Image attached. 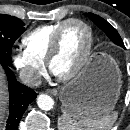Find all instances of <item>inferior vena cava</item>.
I'll list each match as a JSON object with an SVG mask.
<instances>
[{"instance_id": "obj_1", "label": "inferior vena cava", "mask_w": 130, "mask_h": 130, "mask_svg": "<svg viewBox=\"0 0 130 130\" xmlns=\"http://www.w3.org/2000/svg\"><path fill=\"white\" fill-rule=\"evenodd\" d=\"M21 80L23 81L24 84L30 87H37L42 82L41 77L39 75L30 72L21 74Z\"/></svg>"}]
</instances>
